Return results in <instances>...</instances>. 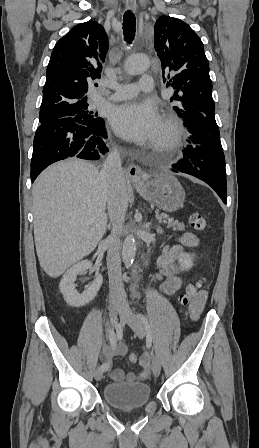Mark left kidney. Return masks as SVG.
I'll return each mask as SVG.
<instances>
[{
    "instance_id": "left-kidney-1",
    "label": "left kidney",
    "mask_w": 259,
    "mask_h": 448,
    "mask_svg": "<svg viewBox=\"0 0 259 448\" xmlns=\"http://www.w3.org/2000/svg\"><path fill=\"white\" fill-rule=\"evenodd\" d=\"M193 258L190 254H179V264L183 270H190L193 266Z\"/></svg>"
}]
</instances>
